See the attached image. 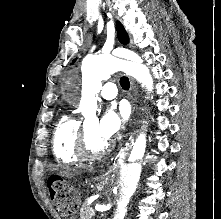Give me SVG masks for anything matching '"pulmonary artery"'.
<instances>
[{
  "mask_svg": "<svg viewBox=\"0 0 221 219\" xmlns=\"http://www.w3.org/2000/svg\"><path fill=\"white\" fill-rule=\"evenodd\" d=\"M117 94V87L113 83H105L100 89V95L107 100L116 98Z\"/></svg>",
  "mask_w": 221,
  "mask_h": 219,
  "instance_id": "pulmonary-artery-1",
  "label": "pulmonary artery"
}]
</instances>
